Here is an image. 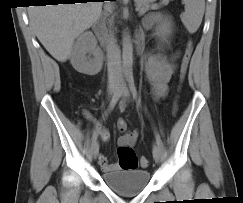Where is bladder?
Masks as SVG:
<instances>
[{
    "label": "bladder",
    "instance_id": "1",
    "mask_svg": "<svg viewBox=\"0 0 243 203\" xmlns=\"http://www.w3.org/2000/svg\"><path fill=\"white\" fill-rule=\"evenodd\" d=\"M104 183L115 192L132 195L142 192L150 181L148 170H115L102 175Z\"/></svg>",
    "mask_w": 243,
    "mask_h": 203
}]
</instances>
